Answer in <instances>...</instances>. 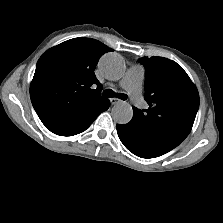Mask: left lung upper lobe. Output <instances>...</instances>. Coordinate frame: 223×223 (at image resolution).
<instances>
[{"label":"left lung upper lobe","mask_w":223,"mask_h":223,"mask_svg":"<svg viewBox=\"0 0 223 223\" xmlns=\"http://www.w3.org/2000/svg\"><path fill=\"white\" fill-rule=\"evenodd\" d=\"M145 100L149 108L133 107L132 122L146 137L178 146L190 133L198 108L199 94L183 68L163 57H144Z\"/></svg>","instance_id":"1"}]
</instances>
